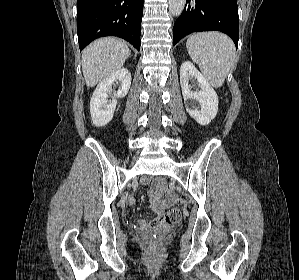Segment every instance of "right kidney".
Instances as JSON below:
<instances>
[{
  "label": "right kidney",
  "mask_w": 299,
  "mask_h": 280,
  "mask_svg": "<svg viewBox=\"0 0 299 280\" xmlns=\"http://www.w3.org/2000/svg\"><path fill=\"white\" fill-rule=\"evenodd\" d=\"M115 82H120L121 87L112 93L111 87ZM130 86L131 74L126 68L110 74L97 85L90 101V114L95 126H105L112 120L117 98L126 96Z\"/></svg>",
  "instance_id": "1"
}]
</instances>
